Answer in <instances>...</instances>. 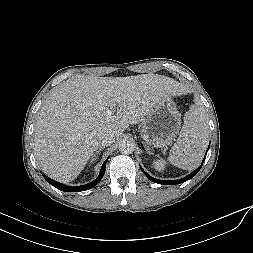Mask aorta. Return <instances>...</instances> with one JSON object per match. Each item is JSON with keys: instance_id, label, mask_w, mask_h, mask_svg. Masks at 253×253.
Here are the masks:
<instances>
[{"instance_id": "aorta-1", "label": "aorta", "mask_w": 253, "mask_h": 253, "mask_svg": "<svg viewBox=\"0 0 253 253\" xmlns=\"http://www.w3.org/2000/svg\"><path fill=\"white\" fill-rule=\"evenodd\" d=\"M118 148L122 154H131L135 150V143L130 139H123L119 142Z\"/></svg>"}]
</instances>
